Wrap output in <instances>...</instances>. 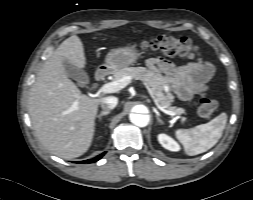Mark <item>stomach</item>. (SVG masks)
Listing matches in <instances>:
<instances>
[{
    "mask_svg": "<svg viewBox=\"0 0 253 200\" xmlns=\"http://www.w3.org/2000/svg\"><path fill=\"white\" fill-rule=\"evenodd\" d=\"M140 54L131 47L114 49L105 59V67L110 72H116L129 65H133L139 58Z\"/></svg>",
    "mask_w": 253,
    "mask_h": 200,
    "instance_id": "obj_1",
    "label": "stomach"
}]
</instances>
